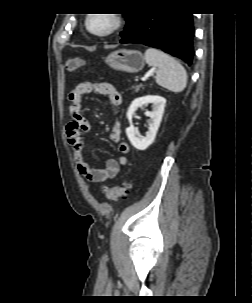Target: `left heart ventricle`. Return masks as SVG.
Returning <instances> with one entry per match:
<instances>
[{
    "instance_id": "obj_1",
    "label": "left heart ventricle",
    "mask_w": 252,
    "mask_h": 303,
    "mask_svg": "<svg viewBox=\"0 0 252 303\" xmlns=\"http://www.w3.org/2000/svg\"><path fill=\"white\" fill-rule=\"evenodd\" d=\"M109 20L105 16H100L92 21V27L96 29L105 28L108 25Z\"/></svg>"
}]
</instances>
